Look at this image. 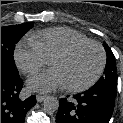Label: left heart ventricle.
<instances>
[{"instance_id":"left-heart-ventricle-1","label":"left heart ventricle","mask_w":123,"mask_h":123,"mask_svg":"<svg viewBox=\"0 0 123 123\" xmlns=\"http://www.w3.org/2000/svg\"><path fill=\"white\" fill-rule=\"evenodd\" d=\"M101 56L93 45L83 46L65 58L53 59L50 67L62 76L65 85H81L89 81L99 68Z\"/></svg>"}]
</instances>
